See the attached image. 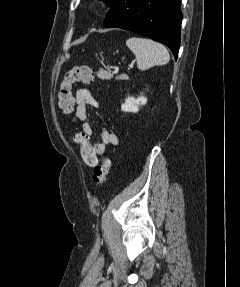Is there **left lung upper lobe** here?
Wrapping results in <instances>:
<instances>
[{"label":"left lung upper lobe","instance_id":"1","mask_svg":"<svg viewBox=\"0 0 240 287\" xmlns=\"http://www.w3.org/2000/svg\"><path fill=\"white\" fill-rule=\"evenodd\" d=\"M105 1L107 2L108 5L112 2V0H105Z\"/></svg>","mask_w":240,"mask_h":287}]
</instances>
